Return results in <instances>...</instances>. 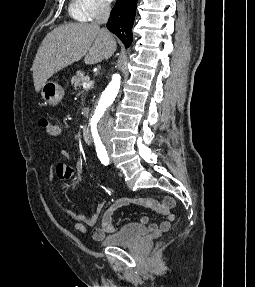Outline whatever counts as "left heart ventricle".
<instances>
[{"instance_id":"b2bd125f","label":"left heart ventricle","mask_w":255,"mask_h":287,"mask_svg":"<svg viewBox=\"0 0 255 287\" xmlns=\"http://www.w3.org/2000/svg\"><path fill=\"white\" fill-rule=\"evenodd\" d=\"M93 33H104V32H93ZM91 39H104V38H91ZM89 48H100V47H89Z\"/></svg>"}]
</instances>
